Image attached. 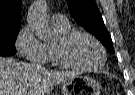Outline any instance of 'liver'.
Wrapping results in <instances>:
<instances>
[{"instance_id":"obj_1","label":"liver","mask_w":135,"mask_h":95,"mask_svg":"<svg viewBox=\"0 0 135 95\" xmlns=\"http://www.w3.org/2000/svg\"><path fill=\"white\" fill-rule=\"evenodd\" d=\"M76 75L0 57V95H48L54 86Z\"/></svg>"}]
</instances>
